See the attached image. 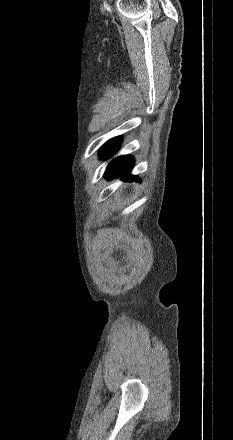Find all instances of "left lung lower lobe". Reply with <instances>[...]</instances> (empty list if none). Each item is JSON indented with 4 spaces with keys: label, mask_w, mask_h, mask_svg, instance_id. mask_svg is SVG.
I'll list each match as a JSON object with an SVG mask.
<instances>
[{
    "label": "left lung lower lobe",
    "mask_w": 233,
    "mask_h": 440,
    "mask_svg": "<svg viewBox=\"0 0 233 440\" xmlns=\"http://www.w3.org/2000/svg\"><path fill=\"white\" fill-rule=\"evenodd\" d=\"M119 144V137H115L107 141L99 151L100 158L106 159L111 157L118 150ZM133 165L134 160L130 155L117 157L108 165L105 171V177L107 179H111L118 174H124L128 176V180H136L137 178L135 176H129Z\"/></svg>",
    "instance_id": "0a47b994"
}]
</instances>
